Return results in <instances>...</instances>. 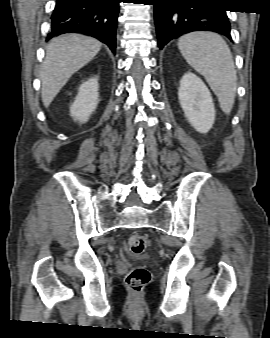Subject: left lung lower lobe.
<instances>
[{
  "label": "left lung lower lobe",
  "mask_w": 270,
  "mask_h": 338,
  "mask_svg": "<svg viewBox=\"0 0 270 338\" xmlns=\"http://www.w3.org/2000/svg\"><path fill=\"white\" fill-rule=\"evenodd\" d=\"M158 44L193 31H213L231 39L226 11L217 0H153Z\"/></svg>",
  "instance_id": "obj_1"
}]
</instances>
